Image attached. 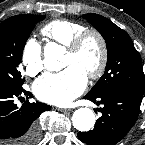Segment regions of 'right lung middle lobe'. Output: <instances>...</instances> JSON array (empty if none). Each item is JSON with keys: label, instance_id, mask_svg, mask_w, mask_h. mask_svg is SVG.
<instances>
[{"label": "right lung middle lobe", "instance_id": "obj_1", "mask_svg": "<svg viewBox=\"0 0 145 145\" xmlns=\"http://www.w3.org/2000/svg\"><path fill=\"white\" fill-rule=\"evenodd\" d=\"M45 15L26 14L0 24V85L21 89L24 79L20 64L25 43L35 25Z\"/></svg>", "mask_w": 145, "mask_h": 145}]
</instances>
